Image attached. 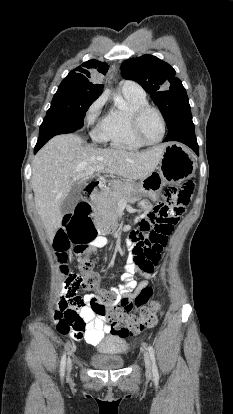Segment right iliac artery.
Returning <instances> with one entry per match:
<instances>
[{
	"instance_id": "right-iliac-artery-1",
	"label": "right iliac artery",
	"mask_w": 233,
	"mask_h": 414,
	"mask_svg": "<svg viewBox=\"0 0 233 414\" xmlns=\"http://www.w3.org/2000/svg\"><path fill=\"white\" fill-rule=\"evenodd\" d=\"M65 365H66V353H64L62 358H61V365H60V376H61V378L64 377Z\"/></svg>"
}]
</instances>
